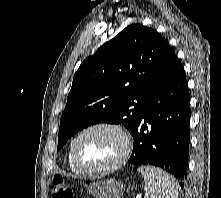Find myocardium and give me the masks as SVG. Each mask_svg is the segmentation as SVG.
Returning <instances> with one entry per match:
<instances>
[{
	"mask_svg": "<svg viewBox=\"0 0 221 198\" xmlns=\"http://www.w3.org/2000/svg\"><path fill=\"white\" fill-rule=\"evenodd\" d=\"M98 129H108L111 131H114L122 140L123 148L122 152L119 155V157L110 165L105 166L103 168L98 169H91L83 166L77 156V144L78 141L87 133L98 130ZM131 139L128 135V133L118 124L110 123V122H99L92 125H89L88 127L81 130L76 137L73 139L71 143V159L74 164V166L83 174L91 175V176H100L105 175L108 173H111L120 167H122L127 159L130 156L131 153Z\"/></svg>",
	"mask_w": 221,
	"mask_h": 198,
	"instance_id": "obj_1",
	"label": "myocardium"
}]
</instances>
